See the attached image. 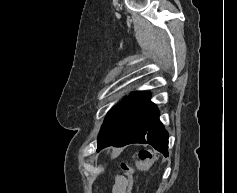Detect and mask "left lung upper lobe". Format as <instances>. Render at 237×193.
Returning a JSON list of instances; mask_svg holds the SVG:
<instances>
[{"label": "left lung upper lobe", "instance_id": "1", "mask_svg": "<svg viewBox=\"0 0 237 193\" xmlns=\"http://www.w3.org/2000/svg\"><path fill=\"white\" fill-rule=\"evenodd\" d=\"M144 95V92L131 93L123 103L106 115L98 136L97 148L103 149L104 147L112 146L117 141Z\"/></svg>", "mask_w": 237, "mask_h": 193}]
</instances>
